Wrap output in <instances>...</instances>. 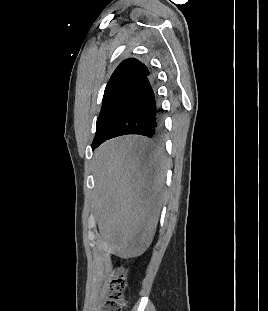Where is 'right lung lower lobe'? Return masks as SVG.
I'll list each match as a JSON object with an SVG mask.
<instances>
[{
	"label": "right lung lower lobe",
	"mask_w": 268,
	"mask_h": 311,
	"mask_svg": "<svg viewBox=\"0 0 268 311\" xmlns=\"http://www.w3.org/2000/svg\"><path fill=\"white\" fill-rule=\"evenodd\" d=\"M162 131V109L154 91V79L149 73L136 84L131 98L92 149L108 139L126 134L157 140Z\"/></svg>",
	"instance_id": "obj_1"
}]
</instances>
